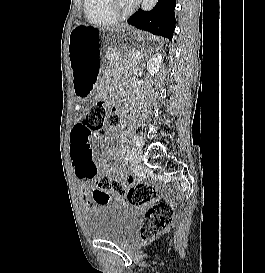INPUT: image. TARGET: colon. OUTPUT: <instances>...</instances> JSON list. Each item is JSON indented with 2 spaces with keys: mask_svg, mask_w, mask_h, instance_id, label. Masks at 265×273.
<instances>
[{
  "mask_svg": "<svg viewBox=\"0 0 265 273\" xmlns=\"http://www.w3.org/2000/svg\"><path fill=\"white\" fill-rule=\"evenodd\" d=\"M120 123V115L108 113L105 105L101 102L94 103L85 115V126L89 131V136H92L95 141H99ZM96 186H100L101 190H112L119 194H125L127 200L134 205H145L153 202L140 227V236L143 240L148 241L159 237L173 223V203L164 198H155L153 187L147 183H133L126 188L118 179L103 176Z\"/></svg>",
  "mask_w": 265,
  "mask_h": 273,
  "instance_id": "5ec220e1",
  "label": "colon"
}]
</instances>
